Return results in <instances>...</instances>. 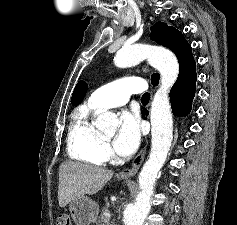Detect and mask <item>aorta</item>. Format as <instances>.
<instances>
[{
    "label": "aorta",
    "instance_id": "obj_1",
    "mask_svg": "<svg viewBox=\"0 0 237 225\" xmlns=\"http://www.w3.org/2000/svg\"><path fill=\"white\" fill-rule=\"evenodd\" d=\"M147 60L160 73V87L156 91L150 109L151 152L139 174L140 192L134 204L124 210V225H143L150 211L157 174L163 167L173 139V119L169 100V90L179 74L176 56L160 47L136 44L123 47L114 58L118 67H128ZM118 118L111 112L100 114L95 122L96 128L104 132H114Z\"/></svg>",
    "mask_w": 237,
    "mask_h": 225
}]
</instances>
